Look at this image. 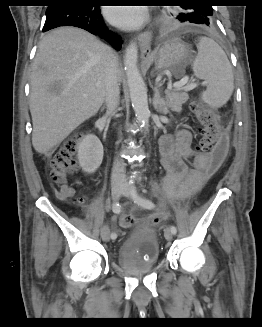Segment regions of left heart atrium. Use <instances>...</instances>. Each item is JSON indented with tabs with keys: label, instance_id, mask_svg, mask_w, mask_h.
Wrapping results in <instances>:
<instances>
[{
	"label": "left heart atrium",
	"instance_id": "1",
	"mask_svg": "<svg viewBox=\"0 0 262 327\" xmlns=\"http://www.w3.org/2000/svg\"><path fill=\"white\" fill-rule=\"evenodd\" d=\"M105 15L110 23L122 29L137 28L147 20L143 7H107Z\"/></svg>",
	"mask_w": 262,
	"mask_h": 327
}]
</instances>
